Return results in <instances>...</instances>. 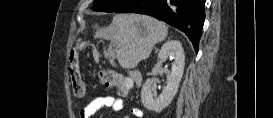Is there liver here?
Wrapping results in <instances>:
<instances>
[{"instance_id": "6515ba94", "label": "liver", "mask_w": 273, "mask_h": 118, "mask_svg": "<svg viewBox=\"0 0 273 118\" xmlns=\"http://www.w3.org/2000/svg\"><path fill=\"white\" fill-rule=\"evenodd\" d=\"M95 28V38L112 40L120 45L115 58L126 69L135 68L148 58L154 45L168 35L165 23L140 14H117L108 27L96 25Z\"/></svg>"}]
</instances>
